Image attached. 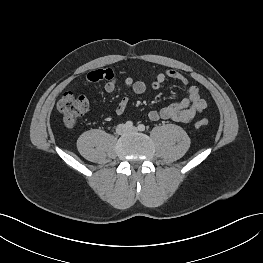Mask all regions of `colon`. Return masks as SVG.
<instances>
[{
	"label": "colon",
	"instance_id": "5ec220e1",
	"mask_svg": "<svg viewBox=\"0 0 263 263\" xmlns=\"http://www.w3.org/2000/svg\"><path fill=\"white\" fill-rule=\"evenodd\" d=\"M88 107V101L85 96L75 94L72 91L65 92L57 103V108L62 116L64 123L68 127H74L78 120L84 115ZM208 125L206 120H200L196 123L198 128Z\"/></svg>",
	"mask_w": 263,
	"mask_h": 263
}]
</instances>
